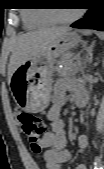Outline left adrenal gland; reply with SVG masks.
Wrapping results in <instances>:
<instances>
[{
	"mask_svg": "<svg viewBox=\"0 0 104 169\" xmlns=\"http://www.w3.org/2000/svg\"><path fill=\"white\" fill-rule=\"evenodd\" d=\"M93 42L90 46H87L86 44L84 45V50L86 51V55H85V61L88 62L89 64L92 63L93 60V46H94Z\"/></svg>",
	"mask_w": 104,
	"mask_h": 169,
	"instance_id": "left-adrenal-gland-1",
	"label": "left adrenal gland"
}]
</instances>
